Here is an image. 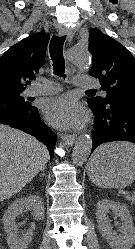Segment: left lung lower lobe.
<instances>
[{
	"mask_svg": "<svg viewBox=\"0 0 135 249\" xmlns=\"http://www.w3.org/2000/svg\"><path fill=\"white\" fill-rule=\"evenodd\" d=\"M90 105L95 115L92 152L105 142L135 143V101L111 100L106 106Z\"/></svg>",
	"mask_w": 135,
	"mask_h": 249,
	"instance_id": "0a47b994",
	"label": "left lung lower lobe"
}]
</instances>
